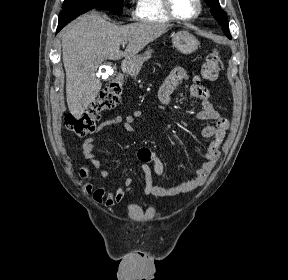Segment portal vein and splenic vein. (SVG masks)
Returning a JSON list of instances; mask_svg holds the SVG:
<instances>
[{
    "label": "portal vein and splenic vein",
    "instance_id": "1",
    "mask_svg": "<svg viewBox=\"0 0 288 280\" xmlns=\"http://www.w3.org/2000/svg\"><path fill=\"white\" fill-rule=\"evenodd\" d=\"M127 42H123L122 44L125 45Z\"/></svg>",
    "mask_w": 288,
    "mask_h": 280
}]
</instances>
